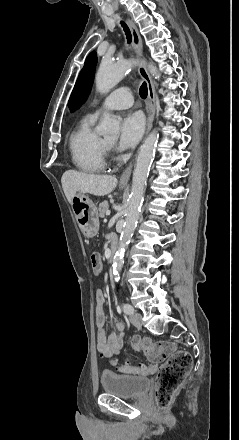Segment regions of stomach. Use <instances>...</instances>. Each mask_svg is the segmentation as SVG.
Returning <instances> with one entry per match:
<instances>
[{"label":"stomach","instance_id":"0dacf381","mask_svg":"<svg viewBox=\"0 0 239 440\" xmlns=\"http://www.w3.org/2000/svg\"><path fill=\"white\" fill-rule=\"evenodd\" d=\"M72 210L84 238H94L98 234L99 218L97 208L88 194L77 192L73 198Z\"/></svg>","mask_w":239,"mask_h":440}]
</instances>
